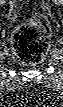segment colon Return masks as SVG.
Listing matches in <instances>:
<instances>
[{"label":"colon","instance_id":"5ec220e1","mask_svg":"<svg viewBox=\"0 0 63 107\" xmlns=\"http://www.w3.org/2000/svg\"><path fill=\"white\" fill-rule=\"evenodd\" d=\"M50 40V29L43 15H34L13 34V49L25 64H37L45 56Z\"/></svg>","mask_w":63,"mask_h":107}]
</instances>
